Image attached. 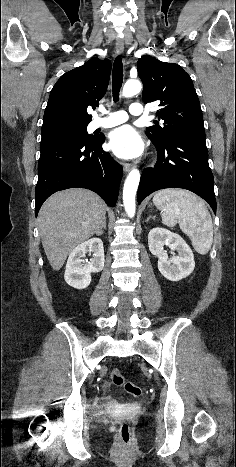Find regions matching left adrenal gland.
Returning a JSON list of instances; mask_svg holds the SVG:
<instances>
[{
  "instance_id": "1",
  "label": "left adrenal gland",
  "mask_w": 236,
  "mask_h": 467,
  "mask_svg": "<svg viewBox=\"0 0 236 467\" xmlns=\"http://www.w3.org/2000/svg\"><path fill=\"white\" fill-rule=\"evenodd\" d=\"M150 219H153V220H155V216H151V215H149V216H148V218H147V220H146V222H148Z\"/></svg>"
}]
</instances>
